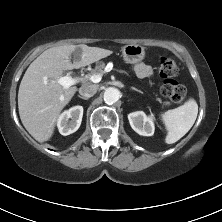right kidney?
I'll return each mask as SVG.
<instances>
[{
    "label": "right kidney",
    "instance_id": "right-kidney-1",
    "mask_svg": "<svg viewBox=\"0 0 222 222\" xmlns=\"http://www.w3.org/2000/svg\"><path fill=\"white\" fill-rule=\"evenodd\" d=\"M82 117V106H74L64 111L57 120V127L60 134L67 136L77 131L81 125Z\"/></svg>",
    "mask_w": 222,
    "mask_h": 222
}]
</instances>
